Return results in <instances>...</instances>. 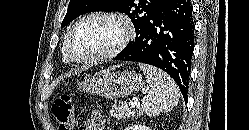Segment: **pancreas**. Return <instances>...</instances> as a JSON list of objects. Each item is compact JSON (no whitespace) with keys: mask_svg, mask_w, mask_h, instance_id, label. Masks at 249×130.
Returning <instances> with one entry per match:
<instances>
[{"mask_svg":"<svg viewBox=\"0 0 249 130\" xmlns=\"http://www.w3.org/2000/svg\"><path fill=\"white\" fill-rule=\"evenodd\" d=\"M135 110L130 108L126 102H119L114 104L111 109V116L116 119L136 117ZM137 116H141V112L137 113Z\"/></svg>","mask_w":249,"mask_h":130,"instance_id":"obj_1","label":"pancreas"}]
</instances>
